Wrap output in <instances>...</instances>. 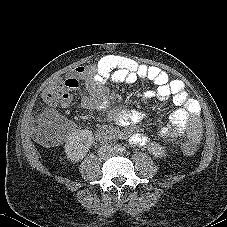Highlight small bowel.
<instances>
[{
    "mask_svg": "<svg viewBox=\"0 0 227 227\" xmlns=\"http://www.w3.org/2000/svg\"><path fill=\"white\" fill-rule=\"evenodd\" d=\"M140 81H149L155 85L154 89L144 93L146 99L171 100L179 108L171 115L170 123L163 127L159 135L162 138L175 141L184 135V124L187 119L197 116L199 109L185 90L182 81L171 79L167 72L159 67L140 64L137 61L118 55H109L101 58L96 64L80 66L74 73L62 80L64 89L62 106L68 107L73 102V91L85 87L89 95L82 99V106L86 109L97 108L105 112L107 102H101L102 88L108 82L134 84ZM51 118H59L52 114ZM142 113L129 115L119 119L120 127L133 124L143 119ZM129 141L136 146H145L150 136L145 131H135L129 134Z\"/></svg>",
    "mask_w": 227,
    "mask_h": 227,
    "instance_id": "small-bowel-1",
    "label": "small bowel"
}]
</instances>
